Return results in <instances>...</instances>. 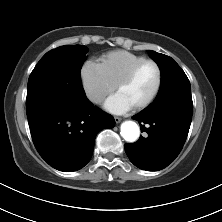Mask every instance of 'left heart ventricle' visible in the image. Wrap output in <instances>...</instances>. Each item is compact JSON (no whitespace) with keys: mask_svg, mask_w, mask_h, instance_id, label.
Segmentation results:
<instances>
[{"mask_svg":"<svg viewBox=\"0 0 222 222\" xmlns=\"http://www.w3.org/2000/svg\"><path fill=\"white\" fill-rule=\"evenodd\" d=\"M157 71L152 64H146L136 73L134 78L117 92L121 93L133 107L147 100L155 89Z\"/></svg>","mask_w":222,"mask_h":222,"instance_id":"b2bd125f","label":"left heart ventricle"}]
</instances>
